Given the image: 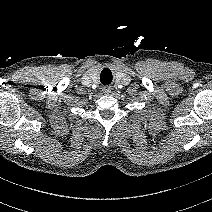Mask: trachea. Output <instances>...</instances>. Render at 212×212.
<instances>
[{
  "mask_svg": "<svg viewBox=\"0 0 212 212\" xmlns=\"http://www.w3.org/2000/svg\"><path fill=\"white\" fill-rule=\"evenodd\" d=\"M100 81L102 84H110L112 82V73L109 69L105 68L102 70Z\"/></svg>",
  "mask_w": 212,
  "mask_h": 212,
  "instance_id": "obj_1",
  "label": "trachea"
}]
</instances>
